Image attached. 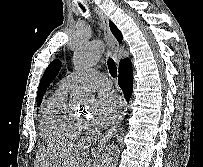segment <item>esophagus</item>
Instances as JSON below:
<instances>
[{
	"label": "esophagus",
	"instance_id": "34e87169",
	"mask_svg": "<svg viewBox=\"0 0 203 167\" xmlns=\"http://www.w3.org/2000/svg\"><path fill=\"white\" fill-rule=\"evenodd\" d=\"M96 13L98 14V16L100 17L101 23H102V28L104 31V35L105 38L110 46V49L113 53V56L116 60H118V51H119V44L117 42V40L115 39V37L113 36L110 28H109V19L108 17L103 14L102 11H100L99 9L95 8ZM126 111H127V103L126 101H124L123 103V109L121 112V115L117 121V123L108 131V133L103 136L97 147L96 150L97 151H101L103 150V148L105 147L106 143L108 142V140L114 135V133L118 130V127L120 126L122 120L124 119L125 115H126Z\"/></svg>",
	"mask_w": 203,
	"mask_h": 167
}]
</instances>
